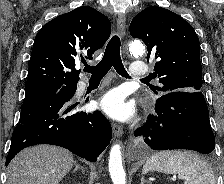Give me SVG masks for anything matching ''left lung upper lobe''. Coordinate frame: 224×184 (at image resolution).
Wrapping results in <instances>:
<instances>
[{
  "instance_id": "left-lung-upper-lobe-1",
  "label": "left lung upper lobe",
  "mask_w": 224,
  "mask_h": 184,
  "mask_svg": "<svg viewBox=\"0 0 224 184\" xmlns=\"http://www.w3.org/2000/svg\"><path fill=\"white\" fill-rule=\"evenodd\" d=\"M130 34L147 46V59L157 60L153 74L162 87L154 92H197L202 87L199 39L182 17L158 6H151L134 17Z\"/></svg>"
}]
</instances>
